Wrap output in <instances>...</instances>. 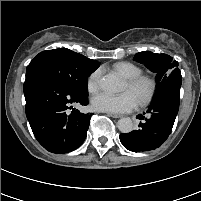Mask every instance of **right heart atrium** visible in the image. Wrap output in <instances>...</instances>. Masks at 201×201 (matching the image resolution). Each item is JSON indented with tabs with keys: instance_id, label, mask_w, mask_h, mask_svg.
Segmentation results:
<instances>
[{
	"instance_id": "right-heart-atrium-1",
	"label": "right heart atrium",
	"mask_w": 201,
	"mask_h": 201,
	"mask_svg": "<svg viewBox=\"0 0 201 201\" xmlns=\"http://www.w3.org/2000/svg\"><path fill=\"white\" fill-rule=\"evenodd\" d=\"M100 70H95L90 74L87 80V90L90 93L97 92L99 88Z\"/></svg>"
}]
</instances>
